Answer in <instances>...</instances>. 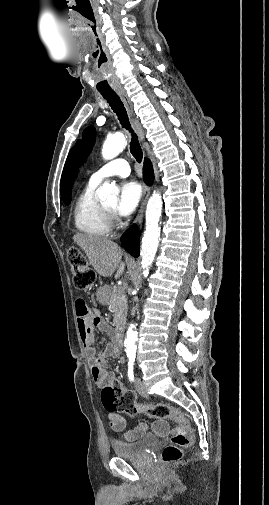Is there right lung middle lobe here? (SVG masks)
Wrapping results in <instances>:
<instances>
[{
    "instance_id": "obj_1",
    "label": "right lung middle lobe",
    "mask_w": 269,
    "mask_h": 505,
    "mask_svg": "<svg viewBox=\"0 0 269 505\" xmlns=\"http://www.w3.org/2000/svg\"><path fill=\"white\" fill-rule=\"evenodd\" d=\"M70 202H71V199H68V200H65V201H64V203H65V204H67V205H69V204H70Z\"/></svg>"
}]
</instances>
